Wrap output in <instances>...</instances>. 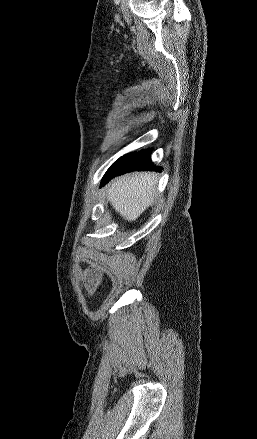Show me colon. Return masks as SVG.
<instances>
[{
    "label": "colon",
    "instance_id": "colon-1",
    "mask_svg": "<svg viewBox=\"0 0 257 439\" xmlns=\"http://www.w3.org/2000/svg\"><path fill=\"white\" fill-rule=\"evenodd\" d=\"M100 274L95 269H88L84 273L83 282L85 289L89 293H93L96 291L99 283H100Z\"/></svg>",
    "mask_w": 257,
    "mask_h": 439
}]
</instances>
